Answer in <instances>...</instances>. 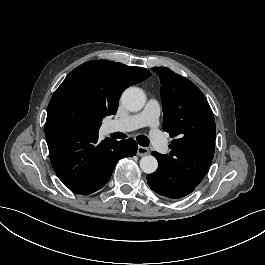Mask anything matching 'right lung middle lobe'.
<instances>
[{"label": "right lung middle lobe", "instance_id": "right-lung-middle-lobe-1", "mask_svg": "<svg viewBox=\"0 0 265 265\" xmlns=\"http://www.w3.org/2000/svg\"><path fill=\"white\" fill-rule=\"evenodd\" d=\"M116 113L103 91L88 76L65 78L53 94L45 126H63L97 133L102 119Z\"/></svg>", "mask_w": 265, "mask_h": 265}]
</instances>
